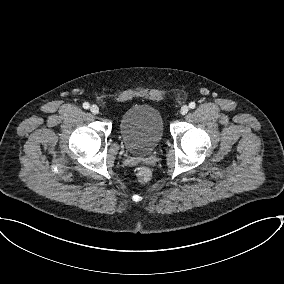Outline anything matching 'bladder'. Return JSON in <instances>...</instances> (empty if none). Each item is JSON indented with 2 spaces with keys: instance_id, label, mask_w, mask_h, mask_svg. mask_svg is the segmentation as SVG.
Here are the masks:
<instances>
[{
  "instance_id": "31cf9c89",
  "label": "bladder",
  "mask_w": 284,
  "mask_h": 284,
  "mask_svg": "<svg viewBox=\"0 0 284 284\" xmlns=\"http://www.w3.org/2000/svg\"><path fill=\"white\" fill-rule=\"evenodd\" d=\"M164 125L160 112L146 104L127 109L119 120V132L127 150L144 156L153 151L163 137Z\"/></svg>"
}]
</instances>
